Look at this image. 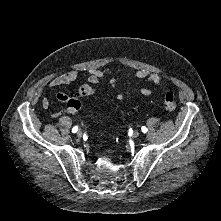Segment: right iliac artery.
<instances>
[{"mask_svg": "<svg viewBox=\"0 0 221 221\" xmlns=\"http://www.w3.org/2000/svg\"><path fill=\"white\" fill-rule=\"evenodd\" d=\"M77 130H78V127L75 126V127L72 129V132L75 133V132H77Z\"/></svg>", "mask_w": 221, "mask_h": 221, "instance_id": "1", "label": "right iliac artery"}]
</instances>
